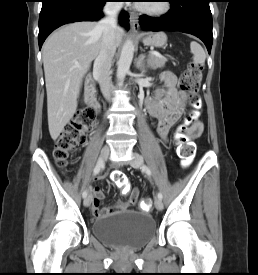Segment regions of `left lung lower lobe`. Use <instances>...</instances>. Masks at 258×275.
Returning a JSON list of instances; mask_svg holds the SVG:
<instances>
[{
    "mask_svg": "<svg viewBox=\"0 0 258 275\" xmlns=\"http://www.w3.org/2000/svg\"><path fill=\"white\" fill-rule=\"evenodd\" d=\"M171 9L159 18L146 15L140 17V25L150 31H180L200 38L210 53L212 34V15L210 0H170Z\"/></svg>",
    "mask_w": 258,
    "mask_h": 275,
    "instance_id": "obj_1",
    "label": "left lung lower lobe"
}]
</instances>
